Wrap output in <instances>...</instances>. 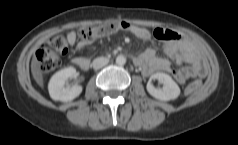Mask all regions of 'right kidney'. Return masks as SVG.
Listing matches in <instances>:
<instances>
[{
    "label": "right kidney",
    "mask_w": 238,
    "mask_h": 145,
    "mask_svg": "<svg viewBox=\"0 0 238 145\" xmlns=\"http://www.w3.org/2000/svg\"><path fill=\"white\" fill-rule=\"evenodd\" d=\"M76 76L74 67H67L56 72L50 79L48 90L50 97L55 101L68 102L78 97L82 92V86H65L68 78Z\"/></svg>",
    "instance_id": "ca27d5eb"
}]
</instances>
